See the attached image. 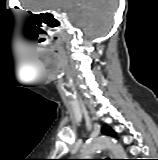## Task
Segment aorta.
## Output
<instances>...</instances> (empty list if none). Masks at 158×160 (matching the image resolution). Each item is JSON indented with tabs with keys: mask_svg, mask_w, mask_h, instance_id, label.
<instances>
[{
	"mask_svg": "<svg viewBox=\"0 0 158 160\" xmlns=\"http://www.w3.org/2000/svg\"><path fill=\"white\" fill-rule=\"evenodd\" d=\"M103 148H109L112 151L115 159H126L127 157L122 145L108 137H100L84 145L81 149V156L85 157Z\"/></svg>",
	"mask_w": 158,
	"mask_h": 160,
	"instance_id": "aorta-1",
	"label": "aorta"
}]
</instances>
